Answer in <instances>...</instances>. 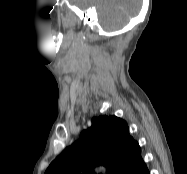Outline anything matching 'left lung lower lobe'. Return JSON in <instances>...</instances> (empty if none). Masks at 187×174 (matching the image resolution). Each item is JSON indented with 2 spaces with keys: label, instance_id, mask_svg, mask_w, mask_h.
I'll return each instance as SVG.
<instances>
[{
  "label": "left lung lower lobe",
  "instance_id": "0a47b994",
  "mask_svg": "<svg viewBox=\"0 0 187 174\" xmlns=\"http://www.w3.org/2000/svg\"><path fill=\"white\" fill-rule=\"evenodd\" d=\"M130 174H150L144 162L138 163Z\"/></svg>",
  "mask_w": 187,
  "mask_h": 174
}]
</instances>
